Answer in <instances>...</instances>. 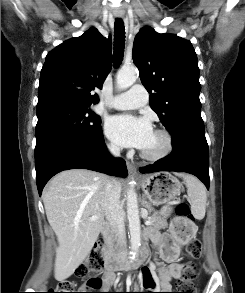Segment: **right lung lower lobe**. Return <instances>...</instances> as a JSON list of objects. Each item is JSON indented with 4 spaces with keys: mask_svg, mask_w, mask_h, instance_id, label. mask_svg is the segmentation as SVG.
Here are the masks:
<instances>
[{
    "mask_svg": "<svg viewBox=\"0 0 245 293\" xmlns=\"http://www.w3.org/2000/svg\"><path fill=\"white\" fill-rule=\"evenodd\" d=\"M39 195L48 180L69 169H89L109 175L127 177L126 163L113 159L107 152L102 132L93 138L67 139L56 142L35 157Z\"/></svg>",
    "mask_w": 245,
    "mask_h": 293,
    "instance_id": "1",
    "label": "right lung lower lobe"
}]
</instances>
